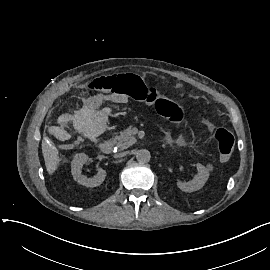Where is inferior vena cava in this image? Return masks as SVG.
Here are the masks:
<instances>
[{
  "label": "inferior vena cava",
  "mask_w": 270,
  "mask_h": 270,
  "mask_svg": "<svg viewBox=\"0 0 270 270\" xmlns=\"http://www.w3.org/2000/svg\"><path fill=\"white\" fill-rule=\"evenodd\" d=\"M123 154H124V155H126V154H127V152H124Z\"/></svg>",
  "instance_id": "1"
}]
</instances>
